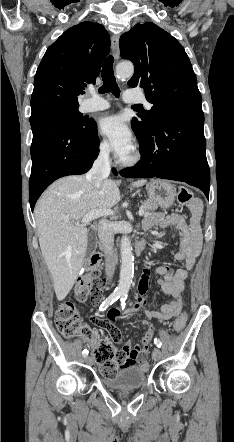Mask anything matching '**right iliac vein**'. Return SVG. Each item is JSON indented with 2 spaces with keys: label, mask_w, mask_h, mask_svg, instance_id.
Returning <instances> with one entry per match:
<instances>
[{
  "label": "right iliac vein",
  "mask_w": 234,
  "mask_h": 442,
  "mask_svg": "<svg viewBox=\"0 0 234 442\" xmlns=\"http://www.w3.org/2000/svg\"><path fill=\"white\" fill-rule=\"evenodd\" d=\"M85 362H86L87 364L91 365L93 361H92V358H91L90 356H86V357H85Z\"/></svg>",
  "instance_id": "1"
}]
</instances>
